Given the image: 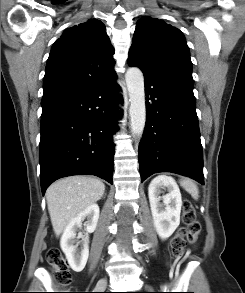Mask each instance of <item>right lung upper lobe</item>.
Segmentation results:
<instances>
[{
  "mask_svg": "<svg viewBox=\"0 0 245 293\" xmlns=\"http://www.w3.org/2000/svg\"><path fill=\"white\" fill-rule=\"evenodd\" d=\"M114 49L97 19L64 30L52 46L44 76L42 109H47L116 75Z\"/></svg>",
  "mask_w": 245,
  "mask_h": 293,
  "instance_id": "1",
  "label": "right lung upper lobe"
}]
</instances>
